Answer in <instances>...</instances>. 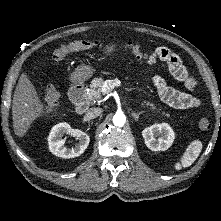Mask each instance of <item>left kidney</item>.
Listing matches in <instances>:
<instances>
[{
	"mask_svg": "<svg viewBox=\"0 0 221 221\" xmlns=\"http://www.w3.org/2000/svg\"><path fill=\"white\" fill-rule=\"evenodd\" d=\"M142 136L146 146L153 151L167 150L175 138L172 128L167 123L154 124L145 128Z\"/></svg>",
	"mask_w": 221,
	"mask_h": 221,
	"instance_id": "5707ae66",
	"label": "left kidney"
}]
</instances>
